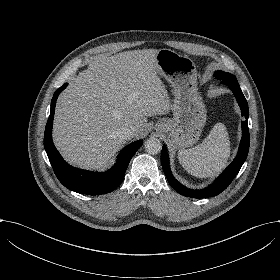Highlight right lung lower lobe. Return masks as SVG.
<instances>
[{
  "label": "right lung lower lobe",
  "mask_w": 280,
  "mask_h": 280,
  "mask_svg": "<svg viewBox=\"0 0 280 280\" xmlns=\"http://www.w3.org/2000/svg\"><path fill=\"white\" fill-rule=\"evenodd\" d=\"M66 86L67 83L55 91L51 101L50 116L45 128L44 147L50 163L59 181L69 190L87 195L109 193L115 190L123 181L128 164L133 155L143 144V141L138 140L126 146L120 152L116 165L106 172H89L68 165L63 160L52 141V124L56 100Z\"/></svg>",
  "instance_id": "right-lung-lower-lobe-1"
}]
</instances>
